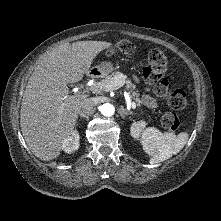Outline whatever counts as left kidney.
Returning <instances> with one entry per match:
<instances>
[{
  "label": "left kidney",
  "instance_id": "5707ae66",
  "mask_svg": "<svg viewBox=\"0 0 221 221\" xmlns=\"http://www.w3.org/2000/svg\"><path fill=\"white\" fill-rule=\"evenodd\" d=\"M146 123L144 121L134 122L131 126V135L135 139L139 137L140 132L142 129L145 128Z\"/></svg>",
  "mask_w": 221,
  "mask_h": 221
}]
</instances>
